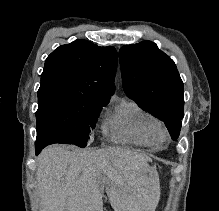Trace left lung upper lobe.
<instances>
[{"instance_id": "left-lung-upper-lobe-1", "label": "left lung upper lobe", "mask_w": 219, "mask_h": 211, "mask_svg": "<svg viewBox=\"0 0 219 211\" xmlns=\"http://www.w3.org/2000/svg\"><path fill=\"white\" fill-rule=\"evenodd\" d=\"M123 88L140 108L162 120L173 140L184 113L183 82L174 61L151 41L119 50Z\"/></svg>"}]
</instances>
